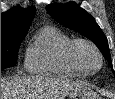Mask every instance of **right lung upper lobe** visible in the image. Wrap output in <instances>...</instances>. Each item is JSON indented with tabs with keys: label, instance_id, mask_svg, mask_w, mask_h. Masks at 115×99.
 Segmentation results:
<instances>
[{
	"label": "right lung upper lobe",
	"instance_id": "obj_1",
	"mask_svg": "<svg viewBox=\"0 0 115 99\" xmlns=\"http://www.w3.org/2000/svg\"><path fill=\"white\" fill-rule=\"evenodd\" d=\"M35 8H20L13 9L1 14V36L26 34L27 30L35 16Z\"/></svg>",
	"mask_w": 115,
	"mask_h": 99
}]
</instances>
